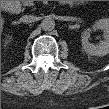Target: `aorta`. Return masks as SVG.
I'll return each instance as SVG.
<instances>
[{"instance_id":"762f6f07","label":"aorta","mask_w":109,"mask_h":109,"mask_svg":"<svg viewBox=\"0 0 109 109\" xmlns=\"http://www.w3.org/2000/svg\"><path fill=\"white\" fill-rule=\"evenodd\" d=\"M44 31H52L55 28V21L51 17H46L41 22Z\"/></svg>"}]
</instances>
